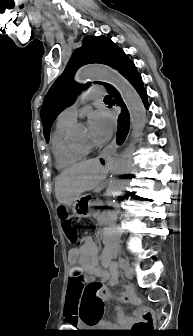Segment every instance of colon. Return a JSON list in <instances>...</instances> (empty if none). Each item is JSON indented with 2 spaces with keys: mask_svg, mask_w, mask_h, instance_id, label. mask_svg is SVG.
Returning <instances> with one entry per match:
<instances>
[{
  "mask_svg": "<svg viewBox=\"0 0 193 336\" xmlns=\"http://www.w3.org/2000/svg\"><path fill=\"white\" fill-rule=\"evenodd\" d=\"M59 217L61 225L66 238L70 243L77 244L80 242V234L83 231L75 218L68 214L65 209L59 210ZM83 227H89L90 222H83ZM79 293L82 295L83 302L80 305L81 318L86 323H96L100 316L92 317V315H99L100 311L92 306L93 302H97L99 296L103 293V286L99 281L85 282L80 279ZM141 316L140 319L133 325L131 336H144L147 332L153 329L154 326V312L145 305L138 306Z\"/></svg>",
  "mask_w": 193,
  "mask_h": 336,
  "instance_id": "1",
  "label": "colon"
}]
</instances>
